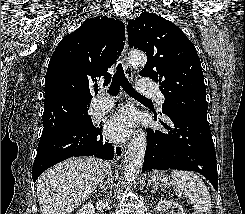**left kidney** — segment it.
<instances>
[{"mask_svg":"<svg viewBox=\"0 0 245 214\" xmlns=\"http://www.w3.org/2000/svg\"><path fill=\"white\" fill-rule=\"evenodd\" d=\"M176 209V212L173 214H186L183 207L174 201L161 199L157 205V211L160 212V214H164L167 209Z\"/></svg>","mask_w":245,"mask_h":214,"instance_id":"5707ae66","label":"left kidney"}]
</instances>
